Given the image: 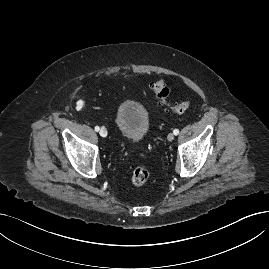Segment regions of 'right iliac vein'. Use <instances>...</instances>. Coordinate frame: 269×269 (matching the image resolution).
Instances as JSON below:
<instances>
[{"mask_svg": "<svg viewBox=\"0 0 269 269\" xmlns=\"http://www.w3.org/2000/svg\"><path fill=\"white\" fill-rule=\"evenodd\" d=\"M99 134H100V136H102V137H106V136H107V130H106L104 127H102V128L100 129V131H99Z\"/></svg>", "mask_w": 269, "mask_h": 269, "instance_id": "63e3f726", "label": "right iliac vein"}]
</instances>
